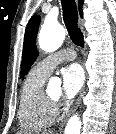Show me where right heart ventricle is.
<instances>
[{"label": "right heart ventricle", "instance_id": "e07e8e85", "mask_svg": "<svg viewBox=\"0 0 116 134\" xmlns=\"http://www.w3.org/2000/svg\"><path fill=\"white\" fill-rule=\"evenodd\" d=\"M48 75L33 67L27 74L20 91L18 120L20 126L30 131H40L51 126L57 111L46 97L44 83Z\"/></svg>", "mask_w": 116, "mask_h": 134}]
</instances>
